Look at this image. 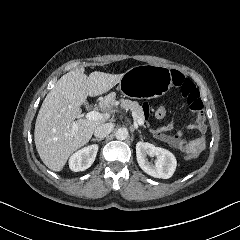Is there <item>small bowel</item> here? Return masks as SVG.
Here are the masks:
<instances>
[{
	"label": "small bowel",
	"mask_w": 240,
	"mask_h": 240,
	"mask_svg": "<svg viewBox=\"0 0 240 240\" xmlns=\"http://www.w3.org/2000/svg\"><path fill=\"white\" fill-rule=\"evenodd\" d=\"M176 125V120H172L169 123L152 130L153 137L165 144H168L181 152H185L189 148H196L202 152L205 148V133L207 126L205 120L202 122H191L183 130L176 133H172ZM197 131L200 136L197 138L186 140L184 138V132Z\"/></svg>",
	"instance_id": "small-bowel-1"
}]
</instances>
